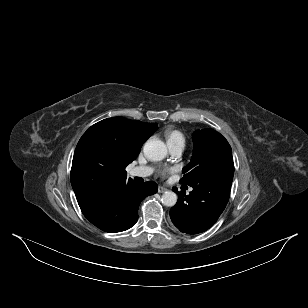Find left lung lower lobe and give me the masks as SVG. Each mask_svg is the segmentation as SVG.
<instances>
[{
  "mask_svg": "<svg viewBox=\"0 0 308 308\" xmlns=\"http://www.w3.org/2000/svg\"><path fill=\"white\" fill-rule=\"evenodd\" d=\"M233 173L212 175L192 185L189 195L178 194V201L170 210L173 224L183 233L197 234L212 227L228 203Z\"/></svg>",
  "mask_w": 308,
  "mask_h": 308,
  "instance_id": "left-lung-lower-lobe-1",
  "label": "left lung lower lobe"
}]
</instances>
